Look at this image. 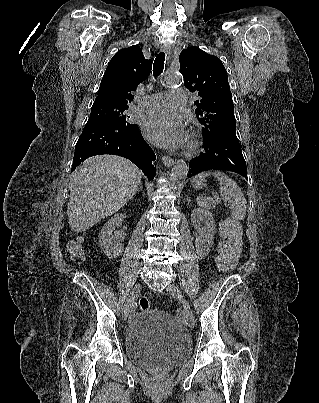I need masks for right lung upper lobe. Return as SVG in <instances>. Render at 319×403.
<instances>
[{
	"label": "right lung upper lobe",
	"instance_id": "cb5924a9",
	"mask_svg": "<svg viewBox=\"0 0 319 403\" xmlns=\"http://www.w3.org/2000/svg\"><path fill=\"white\" fill-rule=\"evenodd\" d=\"M152 61L144 58L138 45L118 51L108 63L94 103L127 105L140 82L147 79Z\"/></svg>",
	"mask_w": 319,
	"mask_h": 403
}]
</instances>
